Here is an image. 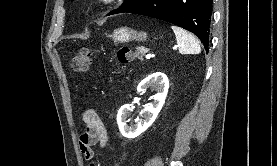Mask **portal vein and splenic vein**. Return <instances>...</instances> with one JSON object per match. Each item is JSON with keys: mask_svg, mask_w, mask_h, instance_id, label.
Masks as SVG:
<instances>
[{"mask_svg": "<svg viewBox=\"0 0 277 166\" xmlns=\"http://www.w3.org/2000/svg\"><path fill=\"white\" fill-rule=\"evenodd\" d=\"M150 57H151V54H147V55L145 56L146 59H149Z\"/></svg>", "mask_w": 277, "mask_h": 166, "instance_id": "18ae733b", "label": "portal vein and splenic vein"}]
</instances>
